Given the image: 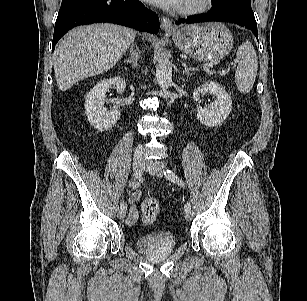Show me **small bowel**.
<instances>
[{"label":"small bowel","instance_id":"obj_1","mask_svg":"<svg viewBox=\"0 0 307 301\" xmlns=\"http://www.w3.org/2000/svg\"><path fill=\"white\" fill-rule=\"evenodd\" d=\"M142 193L140 191H135L129 196V204H130V209L129 213L126 219V222L128 224H134L138 217H139V208L136 205V203L141 199Z\"/></svg>","mask_w":307,"mask_h":301}]
</instances>
